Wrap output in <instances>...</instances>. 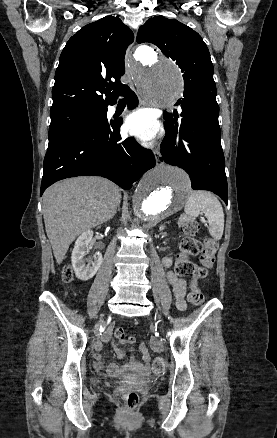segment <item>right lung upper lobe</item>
Segmentation results:
<instances>
[{
	"instance_id": "right-lung-upper-lobe-1",
	"label": "right lung upper lobe",
	"mask_w": 277,
	"mask_h": 438,
	"mask_svg": "<svg viewBox=\"0 0 277 438\" xmlns=\"http://www.w3.org/2000/svg\"><path fill=\"white\" fill-rule=\"evenodd\" d=\"M133 40L132 31L113 16L90 23L72 36L55 73L50 113L103 109L124 92L128 86L120 78L125 73L126 49Z\"/></svg>"
}]
</instances>
